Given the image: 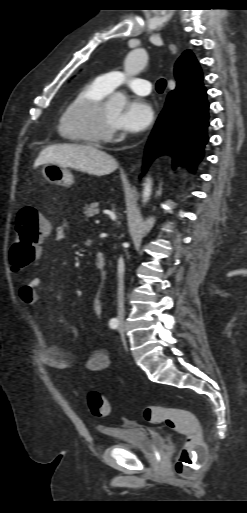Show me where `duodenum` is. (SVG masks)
Wrapping results in <instances>:
<instances>
[{
    "label": "duodenum",
    "mask_w": 247,
    "mask_h": 513,
    "mask_svg": "<svg viewBox=\"0 0 247 513\" xmlns=\"http://www.w3.org/2000/svg\"><path fill=\"white\" fill-rule=\"evenodd\" d=\"M95 267L99 270V276L103 280L106 277V256L104 252L99 251L95 255L94 260Z\"/></svg>",
    "instance_id": "obj_1"
}]
</instances>
